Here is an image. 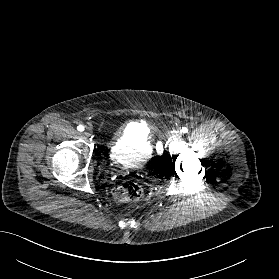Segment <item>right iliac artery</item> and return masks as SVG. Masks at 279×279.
Returning a JSON list of instances; mask_svg holds the SVG:
<instances>
[{"label": "right iliac artery", "mask_w": 279, "mask_h": 279, "mask_svg": "<svg viewBox=\"0 0 279 279\" xmlns=\"http://www.w3.org/2000/svg\"><path fill=\"white\" fill-rule=\"evenodd\" d=\"M77 129H78V131L82 132V131H84V126L79 125V126L77 127Z\"/></svg>", "instance_id": "right-iliac-artery-1"}]
</instances>
